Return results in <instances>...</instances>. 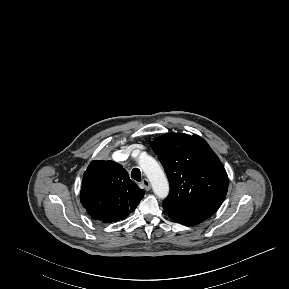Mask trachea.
<instances>
[{"instance_id":"3493384b","label":"trachea","mask_w":289,"mask_h":289,"mask_svg":"<svg viewBox=\"0 0 289 289\" xmlns=\"http://www.w3.org/2000/svg\"><path fill=\"white\" fill-rule=\"evenodd\" d=\"M131 177L136 181H141V171L138 168H134L131 171Z\"/></svg>"}]
</instances>
